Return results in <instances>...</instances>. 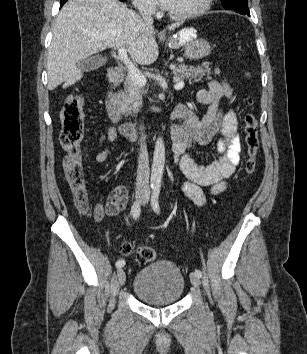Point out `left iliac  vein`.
Listing matches in <instances>:
<instances>
[{"instance_id":"obj_1","label":"left iliac vein","mask_w":307,"mask_h":354,"mask_svg":"<svg viewBox=\"0 0 307 354\" xmlns=\"http://www.w3.org/2000/svg\"><path fill=\"white\" fill-rule=\"evenodd\" d=\"M146 202H147V199L144 200V203H146ZM190 281L193 284V286L199 287V285H200V277L195 275V273H191L190 274Z\"/></svg>"}]
</instances>
